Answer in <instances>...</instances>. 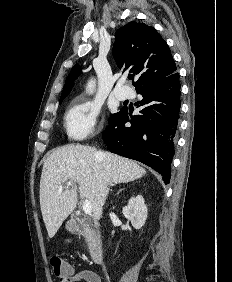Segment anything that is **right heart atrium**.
<instances>
[{
    "label": "right heart atrium",
    "instance_id": "d8ad5b80",
    "mask_svg": "<svg viewBox=\"0 0 232 282\" xmlns=\"http://www.w3.org/2000/svg\"><path fill=\"white\" fill-rule=\"evenodd\" d=\"M99 109L90 101L79 98L69 107L65 116V128L73 141H83L96 130Z\"/></svg>",
    "mask_w": 232,
    "mask_h": 282
}]
</instances>
